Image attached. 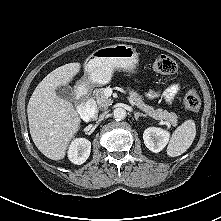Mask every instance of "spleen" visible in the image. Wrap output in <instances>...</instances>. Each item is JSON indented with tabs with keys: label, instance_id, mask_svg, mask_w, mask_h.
Masks as SVG:
<instances>
[{
	"label": "spleen",
	"instance_id": "obj_1",
	"mask_svg": "<svg viewBox=\"0 0 221 221\" xmlns=\"http://www.w3.org/2000/svg\"><path fill=\"white\" fill-rule=\"evenodd\" d=\"M196 136V125L191 119L183 122L173 132L167 147V155L180 156L192 145Z\"/></svg>",
	"mask_w": 221,
	"mask_h": 221
}]
</instances>
